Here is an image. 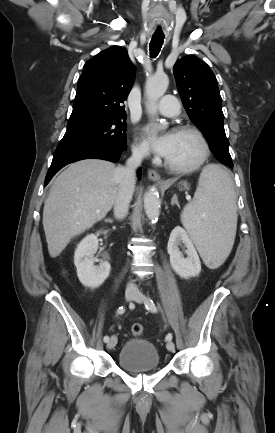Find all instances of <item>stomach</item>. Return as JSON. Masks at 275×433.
<instances>
[{"instance_id":"1","label":"stomach","mask_w":275,"mask_h":433,"mask_svg":"<svg viewBox=\"0 0 275 433\" xmlns=\"http://www.w3.org/2000/svg\"><path fill=\"white\" fill-rule=\"evenodd\" d=\"M179 189H180L181 191H183V190H188V189H189V186H188V184H187L186 182H181V183L179 184Z\"/></svg>"}]
</instances>
